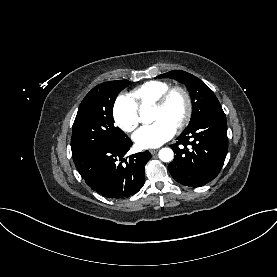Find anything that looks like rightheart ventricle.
Instances as JSON below:
<instances>
[{
    "label": "right heart ventricle",
    "instance_id": "1",
    "mask_svg": "<svg viewBox=\"0 0 277 277\" xmlns=\"http://www.w3.org/2000/svg\"><path fill=\"white\" fill-rule=\"evenodd\" d=\"M168 88H170V85L167 82L160 80L148 81L134 88L130 92V98L137 107L147 108L152 106Z\"/></svg>",
    "mask_w": 277,
    "mask_h": 277
}]
</instances>
